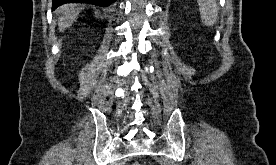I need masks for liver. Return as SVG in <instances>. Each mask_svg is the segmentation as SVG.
Masks as SVG:
<instances>
[{
    "instance_id": "6515ba94",
    "label": "liver",
    "mask_w": 276,
    "mask_h": 165,
    "mask_svg": "<svg viewBox=\"0 0 276 165\" xmlns=\"http://www.w3.org/2000/svg\"><path fill=\"white\" fill-rule=\"evenodd\" d=\"M58 26L60 32H63L65 29L69 28L78 18L79 11L75 5L65 4L57 9Z\"/></svg>"
}]
</instances>
